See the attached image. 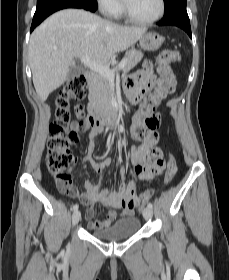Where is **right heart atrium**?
Masks as SVG:
<instances>
[{
	"label": "right heart atrium",
	"mask_w": 229,
	"mask_h": 280,
	"mask_svg": "<svg viewBox=\"0 0 229 280\" xmlns=\"http://www.w3.org/2000/svg\"><path fill=\"white\" fill-rule=\"evenodd\" d=\"M101 11L108 17H116L121 11V0H96Z\"/></svg>",
	"instance_id": "right-heart-atrium-1"
}]
</instances>
